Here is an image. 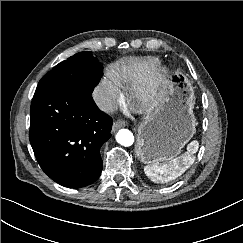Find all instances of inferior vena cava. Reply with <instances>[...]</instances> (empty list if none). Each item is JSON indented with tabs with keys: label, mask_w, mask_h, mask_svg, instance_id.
<instances>
[{
	"label": "inferior vena cava",
	"mask_w": 243,
	"mask_h": 243,
	"mask_svg": "<svg viewBox=\"0 0 243 243\" xmlns=\"http://www.w3.org/2000/svg\"><path fill=\"white\" fill-rule=\"evenodd\" d=\"M93 99L96 105L104 112H111L116 108L114 98L103 91L97 89L93 92Z\"/></svg>",
	"instance_id": "602c4592"
}]
</instances>
